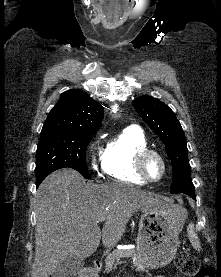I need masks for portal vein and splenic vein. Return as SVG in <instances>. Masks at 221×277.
Here are the masks:
<instances>
[{"label": "portal vein and splenic vein", "mask_w": 221, "mask_h": 277, "mask_svg": "<svg viewBox=\"0 0 221 277\" xmlns=\"http://www.w3.org/2000/svg\"><path fill=\"white\" fill-rule=\"evenodd\" d=\"M105 220V217L100 218L97 223L103 222Z\"/></svg>", "instance_id": "18ae733b"}]
</instances>
